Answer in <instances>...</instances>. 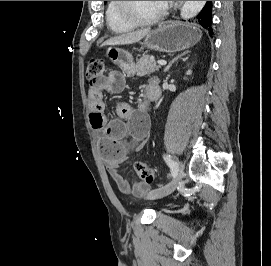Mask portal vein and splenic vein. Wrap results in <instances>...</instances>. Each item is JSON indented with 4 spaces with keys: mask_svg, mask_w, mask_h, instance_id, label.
<instances>
[{
    "mask_svg": "<svg viewBox=\"0 0 271 266\" xmlns=\"http://www.w3.org/2000/svg\"><path fill=\"white\" fill-rule=\"evenodd\" d=\"M157 63L159 66H164L167 64V62L165 60H158Z\"/></svg>",
    "mask_w": 271,
    "mask_h": 266,
    "instance_id": "obj_1",
    "label": "portal vein and splenic vein"
}]
</instances>
